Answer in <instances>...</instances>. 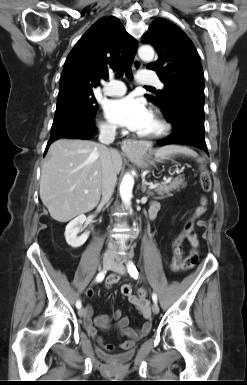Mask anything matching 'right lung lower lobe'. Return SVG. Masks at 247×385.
Listing matches in <instances>:
<instances>
[{"mask_svg":"<svg viewBox=\"0 0 247 385\" xmlns=\"http://www.w3.org/2000/svg\"><path fill=\"white\" fill-rule=\"evenodd\" d=\"M96 133L93 118H72L52 126L51 136L47 143L45 153L49 145L57 139H88Z\"/></svg>","mask_w":247,"mask_h":385,"instance_id":"98d812e1","label":"right lung lower lobe"}]
</instances>
